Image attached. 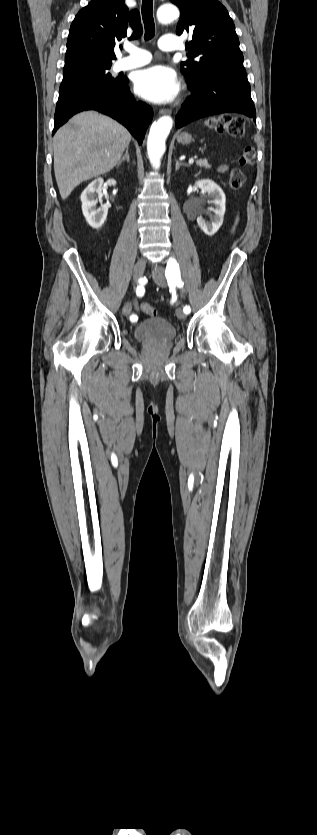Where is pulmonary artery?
Masks as SVG:
<instances>
[{
	"instance_id": "obj_1",
	"label": "pulmonary artery",
	"mask_w": 317,
	"mask_h": 835,
	"mask_svg": "<svg viewBox=\"0 0 317 835\" xmlns=\"http://www.w3.org/2000/svg\"><path fill=\"white\" fill-rule=\"evenodd\" d=\"M158 46L163 51H177L181 49L178 39L174 35H164L160 38ZM127 56L117 60L115 68L118 71L134 69L146 65L151 60V54L138 46L128 44L125 46Z\"/></svg>"
}]
</instances>
